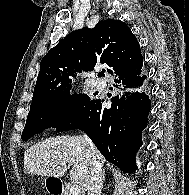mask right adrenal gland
Wrapping results in <instances>:
<instances>
[{"label": "right adrenal gland", "instance_id": "2a0ac1e0", "mask_svg": "<svg viewBox=\"0 0 189 195\" xmlns=\"http://www.w3.org/2000/svg\"><path fill=\"white\" fill-rule=\"evenodd\" d=\"M104 180H105V171H103V174H102L101 188H103Z\"/></svg>", "mask_w": 189, "mask_h": 195}]
</instances>
